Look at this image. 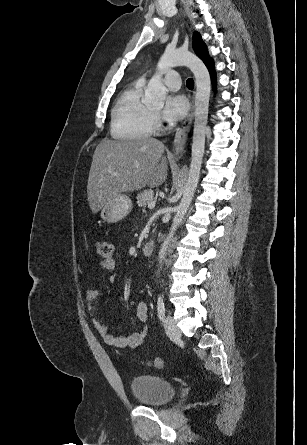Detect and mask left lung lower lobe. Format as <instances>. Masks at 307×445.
<instances>
[{"label": "left lung lower lobe", "instance_id": "1", "mask_svg": "<svg viewBox=\"0 0 307 445\" xmlns=\"http://www.w3.org/2000/svg\"><path fill=\"white\" fill-rule=\"evenodd\" d=\"M206 66H207V68H208V70L210 72V75H211L213 83H215V70H214V63H213V61L211 60L208 64H206Z\"/></svg>", "mask_w": 307, "mask_h": 445}]
</instances>
